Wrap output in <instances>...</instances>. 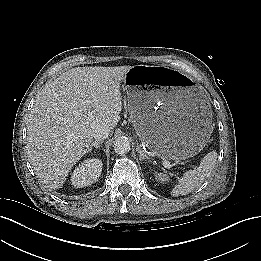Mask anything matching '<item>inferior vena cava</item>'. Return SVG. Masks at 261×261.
<instances>
[{"label":"inferior vena cava","mask_w":261,"mask_h":261,"mask_svg":"<svg viewBox=\"0 0 261 261\" xmlns=\"http://www.w3.org/2000/svg\"><path fill=\"white\" fill-rule=\"evenodd\" d=\"M93 137L96 140L106 139L110 133V129L107 126L99 125L93 129Z\"/></svg>","instance_id":"1"}]
</instances>
